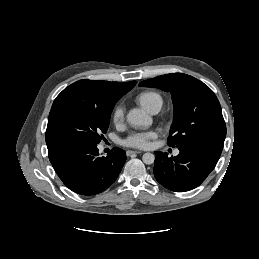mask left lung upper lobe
I'll list each match as a JSON object with an SVG mask.
<instances>
[{"label":"left lung upper lobe","instance_id":"left-lung-upper-lobe-1","mask_svg":"<svg viewBox=\"0 0 259 259\" xmlns=\"http://www.w3.org/2000/svg\"><path fill=\"white\" fill-rule=\"evenodd\" d=\"M139 86L172 94L174 119L168 145L179 148L199 139L225 140L226 125L220 103L203 82L183 73H172L142 81Z\"/></svg>","mask_w":259,"mask_h":259}]
</instances>
